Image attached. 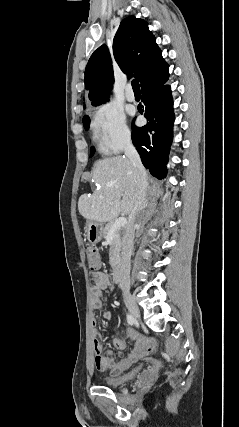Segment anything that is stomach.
<instances>
[{"label":"stomach","mask_w":239,"mask_h":427,"mask_svg":"<svg viewBox=\"0 0 239 427\" xmlns=\"http://www.w3.org/2000/svg\"><path fill=\"white\" fill-rule=\"evenodd\" d=\"M85 232L88 241L92 244L100 242L105 236L103 224L92 220L86 223Z\"/></svg>","instance_id":"obj_1"}]
</instances>
